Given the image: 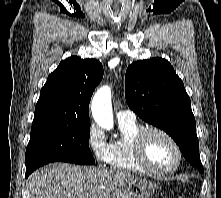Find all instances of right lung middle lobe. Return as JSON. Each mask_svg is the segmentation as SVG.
<instances>
[{
    "instance_id": "dd1d6c3e",
    "label": "right lung middle lobe",
    "mask_w": 221,
    "mask_h": 198,
    "mask_svg": "<svg viewBox=\"0 0 221 198\" xmlns=\"http://www.w3.org/2000/svg\"><path fill=\"white\" fill-rule=\"evenodd\" d=\"M90 124L74 126L43 123L32 125L25 154L26 173L38 167L63 161L93 165L95 160L89 149Z\"/></svg>"
}]
</instances>
